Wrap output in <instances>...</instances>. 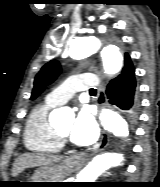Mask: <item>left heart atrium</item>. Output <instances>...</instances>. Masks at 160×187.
Masks as SVG:
<instances>
[{
	"label": "left heart atrium",
	"instance_id": "39dd6f15",
	"mask_svg": "<svg viewBox=\"0 0 160 187\" xmlns=\"http://www.w3.org/2000/svg\"><path fill=\"white\" fill-rule=\"evenodd\" d=\"M99 136L98 126L87 110H81L71 128V141L76 145L88 146L93 144Z\"/></svg>",
	"mask_w": 160,
	"mask_h": 187
}]
</instances>
